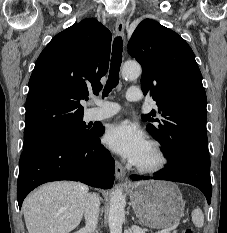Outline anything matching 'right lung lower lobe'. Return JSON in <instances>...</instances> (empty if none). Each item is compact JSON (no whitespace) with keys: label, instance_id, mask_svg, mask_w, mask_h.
Returning a JSON list of instances; mask_svg holds the SVG:
<instances>
[{"label":"right lung lower lobe","instance_id":"obj_1","mask_svg":"<svg viewBox=\"0 0 227 233\" xmlns=\"http://www.w3.org/2000/svg\"><path fill=\"white\" fill-rule=\"evenodd\" d=\"M103 133L100 126L86 138L53 139L24 148L17 181L19 208L30 191L50 181H81L93 187L111 188L115 162L100 143Z\"/></svg>","mask_w":227,"mask_h":233}]
</instances>
